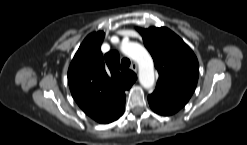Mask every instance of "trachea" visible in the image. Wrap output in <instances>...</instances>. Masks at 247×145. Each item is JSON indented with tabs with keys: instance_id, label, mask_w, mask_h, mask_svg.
<instances>
[{
	"instance_id": "trachea-1",
	"label": "trachea",
	"mask_w": 247,
	"mask_h": 145,
	"mask_svg": "<svg viewBox=\"0 0 247 145\" xmlns=\"http://www.w3.org/2000/svg\"><path fill=\"white\" fill-rule=\"evenodd\" d=\"M121 64H122L123 67L128 68L130 66L131 62H130V60L128 58H123L121 60Z\"/></svg>"
}]
</instances>
